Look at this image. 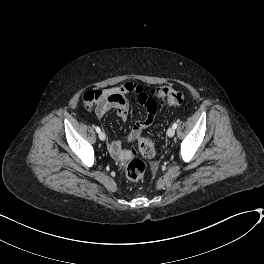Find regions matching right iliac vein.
I'll return each mask as SVG.
<instances>
[{
	"label": "right iliac vein",
	"instance_id": "63e3f726",
	"mask_svg": "<svg viewBox=\"0 0 264 264\" xmlns=\"http://www.w3.org/2000/svg\"><path fill=\"white\" fill-rule=\"evenodd\" d=\"M98 136H99V139L102 140V141H104L105 138H106L105 133L104 132H101V131L99 132Z\"/></svg>",
	"mask_w": 264,
	"mask_h": 264
}]
</instances>
